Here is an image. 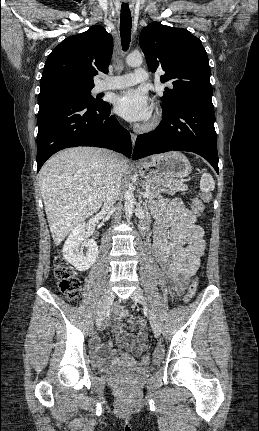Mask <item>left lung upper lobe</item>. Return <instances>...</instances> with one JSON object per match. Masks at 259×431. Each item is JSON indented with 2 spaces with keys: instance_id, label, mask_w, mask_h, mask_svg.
Instances as JSON below:
<instances>
[{
  "instance_id": "1",
  "label": "left lung upper lobe",
  "mask_w": 259,
  "mask_h": 431,
  "mask_svg": "<svg viewBox=\"0 0 259 431\" xmlns=\"http://www.w3.org/2000/svg\"><path fill=\"white\" fill-rule=\"evenodd\" d=\"M140 47L148 67L163 69L161 82L171 85L161 97L163 110L186 102L213 107L209 60L200 39L187 29L152 22L141 31Z\"/></svg>"
}]
</instances>
